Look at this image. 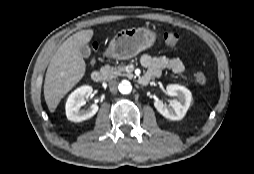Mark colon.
<instances>
[{"label":"colon","mask_w":254,"mask_h":174,"mask_svg":"<svg viewBox=\"0 0 254 174\" xmlns=\"http://www.w3.org/2000/svg\"><path fill=\"white\" fill-rule=\"evenodd\" d=\"M164 40L168 45L174 46L180 41V36L175 31H167L164 33ZM194 76L197 83L201 85L207 83V77L203 72L197 71Z\"/></svg>","instance_id":"obj_1"}]
</instances>
